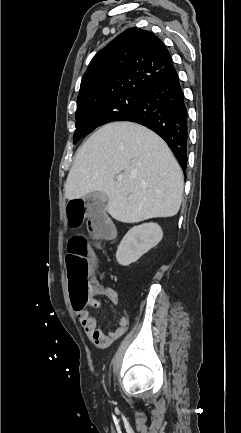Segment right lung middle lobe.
Masks as SVG:
<instances>
[{
    "label": "right lung middle lobe",
    "instance_id": "dd1d6c3e",
    "mask_svg": "<svg viewBox=\"0 0 241 433\" xmlns=\"http://www.w3.org/2000/svg\"><path fill=\"white\" fill-rule=\"evenodd\" d=\"M144 92L125 91L77 104L74 144L97 127L119 121L142 102Z\"/></svg>",
    "mask_w": 241,
    "mask_h": 433
}]
</instances>
